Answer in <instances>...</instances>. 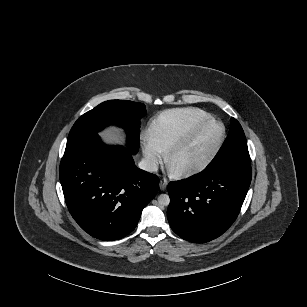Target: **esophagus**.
<instances>
[{"label": "esophagus", "mask_w": 307, "mask_h": 307, "mask_svg": "<svg viewBox=\"0 0 307 307\" xmlns=\"http://www.w3.org/2000/svg\"><path fill=\"white\" fill-rule=\"evenodd\" d=\"M167 180L165 178L161 179L160 182H159V188L162 190V191H165L166 190V187H167Z\"/></svg>", "instance_id": "esophagus-1"}]
</instances>
